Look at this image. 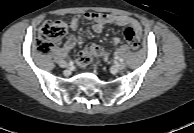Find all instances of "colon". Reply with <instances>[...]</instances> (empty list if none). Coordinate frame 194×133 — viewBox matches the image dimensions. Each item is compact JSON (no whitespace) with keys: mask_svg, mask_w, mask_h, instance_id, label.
<instances>
[{"mask_svg":"<svg viewBox=\"0 0 194 133\" xmlns=\"http://www.w3.org/2000/svg\"><path fill=\"white\" fill-rule=\"evenodd\" d=\"M67 30L68 24L63 20L45 21L39 29V36L36 41L37 49L41 53H47L53 44L67 33ZM124 35L131 49L137 51L140 48V38L133 29L127 28ZM101 53L102 49L99 46L91 45L77 55L76 62L78 66L85 67L92 57L99 56Z\"/></svg>","mask_w":194,"mask_h":133,"instance_id":"1","label":"colon"}]
</instances>
